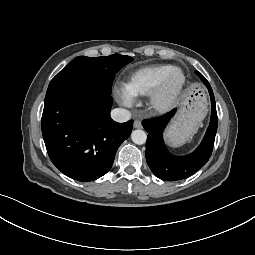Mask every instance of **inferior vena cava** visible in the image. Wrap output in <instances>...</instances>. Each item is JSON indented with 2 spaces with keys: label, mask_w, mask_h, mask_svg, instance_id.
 Masks as SVG:
<instances>
[{
  "label": "inferior vena cava",
  "mask_w": 255,
  "mask_h": 255,
  "mask_svg": "<svg viewBox=\"0 0 255 255\" xmlns=\"http://www.w3.org/2000/svg\"><path fill=\"white\" fill-rule=\"evenodd\" d=\"M111 117L114 121L123 123L131 118V113L126 109L116 108L112 110Z\"/></svg>",
  "instance_id": "inferior-vena-cava-1"
}]
</instances>
